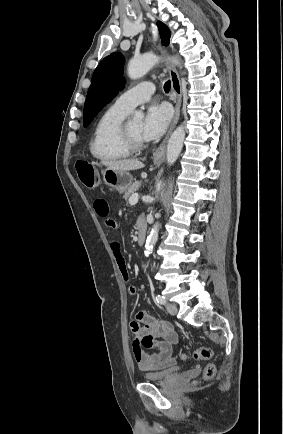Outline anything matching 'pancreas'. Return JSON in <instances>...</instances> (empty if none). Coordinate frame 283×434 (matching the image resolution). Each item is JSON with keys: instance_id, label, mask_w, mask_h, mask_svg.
I'll use <instances>...</instances> for the list:
<instances>
[{"instance_id": "pancreas-1", "label": "pancreas", "mask_w": 283, "mask_h": 434, "mask_svg": "<svg viewBox=\"0 0 283 434\" xmlns=\"http://www.w3.org/2000/svg\"><path fill=\"white\" fill-rule=\"evenodd\" d=\"M140 185H141V182H140V181H136V182H134V183H133V184H132L128 189H127V191L124 193L123 198L127 201V200L129 199V197H130L131 195H133L134 192H135L136 190L139 189Z\"/></svg>"}]
</instances>
